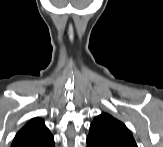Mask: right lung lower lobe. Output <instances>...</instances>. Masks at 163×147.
Here are the masks:
<instances>
[{
  "label": "right lung lower lobe",
  "mask_w": 163,
  "mask_h": 147,
  "mask_svg": "<svg viewBox=\"0 0 163 147\" xmlns=\"http://www.w3.org/2000/svg\"><path fill=\"white\" fill-rule=\"evenodd\" d=\"M12 147H54L53 136L41 140H25L12 144Z\"/></svg>",
  "instance_id": "1"
}]
</instances>
